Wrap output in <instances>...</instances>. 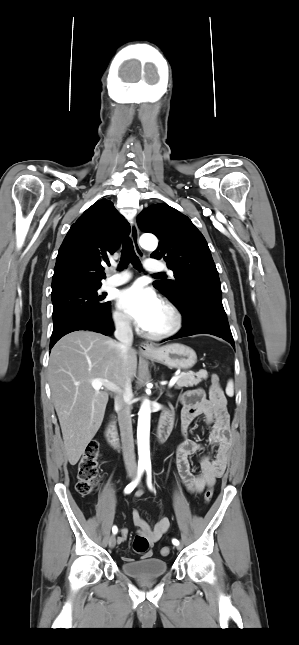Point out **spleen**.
Masks as SVG:
<instances>
[{"label":"spleen","instance_id":"3e777b00","mask_svg":"<svg viewBox=\"0 0 299 645\" xmlns=\"http://www.w3.org/2000/svg\"><path fill=\"white\" fill-rule=\"evenodd\" d=\"M226 393H227V395H229V396H233V394H234V383H233V380H229V381H228V383H227V387H226Z\"/></svg>","mask_w":299,"mask_h":645}]
</instances>
